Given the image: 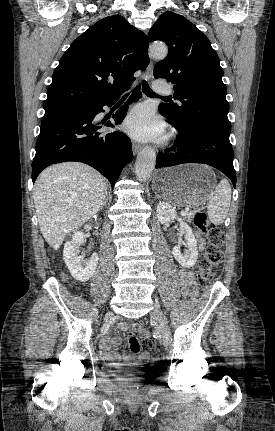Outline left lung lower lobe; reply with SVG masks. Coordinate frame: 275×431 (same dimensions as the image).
<instances>
[{
	"mask_svg": "<svg viewBox=\"0 0 275 431\" xmlns=\"http://www.w3.org/2000/svg\"><path fill=\"white\" fill-rule=\"evenodd\" d=\"M175 127V126H174ZM173 149L176 153H158L156 168L183 163H203L222 171L236 186L230 132L205 128L181 129Z\"/></svg>",
	"mask_w": 275,
	"mask_h": 431,
	"instance_id": "0a47b994",
	"label": "left lung lower lobe"
}]
</instances>
